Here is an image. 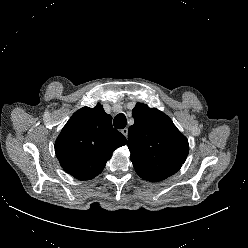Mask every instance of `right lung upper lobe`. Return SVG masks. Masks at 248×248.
Returning <instances> with one entry per match:
<instances>
[{
	"label": "right lung upper lobe",
	"mask_w": 248,
	"mask_h": 248,
	"mask_svg": "<svg viewBox=\"0 0 248 248\" xmlns=\"http://www.w3.org/2000/svg\"><path fill=\"white\" fill-rule=\"evenodd\" d=\"M127 143L112 127L111 115L101 104L75 112L61 130L56 156L63 169L79 180H90L101 173L112 152Z\"/></svg>",
	"instance_id": "obj_1"
}]
</instances>
